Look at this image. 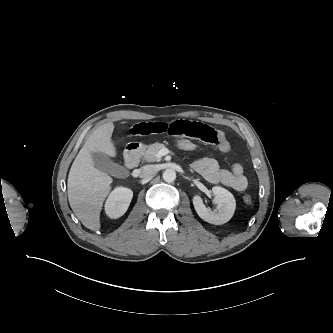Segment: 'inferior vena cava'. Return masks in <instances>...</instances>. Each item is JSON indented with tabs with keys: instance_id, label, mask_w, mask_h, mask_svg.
Returning <instances> with one entry per match:
<instances>
[{
	"instance_id": "obj_1",
	"label": "inferior vena cava",
	"mask_w": 333,
	"mask_h": 333,
	"mask_svg": "<svg viewBox=\"0 0 333 333\" xmlns=\"http://www.w3.org/2000/svg\"><path fill=\"white\" fill-rule=\"evenodd\" d=\"M158 171V168L154 165H145L140 168L139 176L141 178H149Z\"/></svg>"
}]
</instances>
